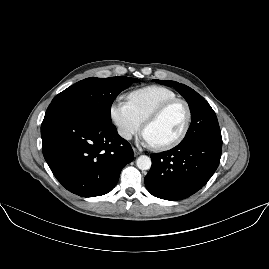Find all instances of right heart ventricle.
Segmentation results:
<instances>
[{"mask_svg": "<svg viewBox=\"0 0 269 269\" xmlns=\"http://www.w3.org/2000/svg\"><path fill=\"white\" fill-rule=\"evenodd\" d=\"M177 98L176 94L161 86H149L129 94V104L138 120L143 124L146 117L166 101Z\"/></svg>", "mask_w": 269, "mask_h": 269, "instance_id": "e07e8e85", "label": "right heart ventricle"}]
</instances>
